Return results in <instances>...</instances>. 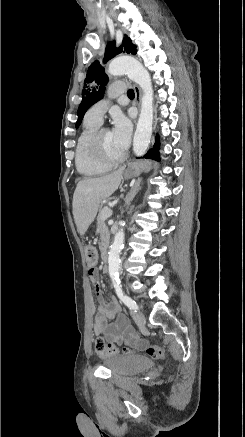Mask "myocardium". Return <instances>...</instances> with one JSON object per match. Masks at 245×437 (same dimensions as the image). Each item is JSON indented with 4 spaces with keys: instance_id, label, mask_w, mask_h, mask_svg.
<instances>
[{
    "instance_id": "myocardium-1",
    "label": "myocardium",
    "mask_w": 245,
    "mask_h": 437,
    "mask_svg": "<svg viewBox=\"0 0 245 437\" xmlns=\"http://www.w3.org/2000/svg\"><path fill=\"white\" fill-rule=\"evenodd\" d=\"M108 130L107 128H98L90 138L89 149L92 156L99 162L106 165H116L121 163L126 158V153H123L118 158H112L108 156L102 146V135Z\"/></svg>"
}]
</instances>
